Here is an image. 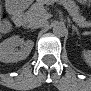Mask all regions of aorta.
<instances>
[{"label": "aorta", "instance_id": "aorta-1", "mask_svg": "<svg viewBox=\"0 0 91 91\" xmlns=\"http://www.w3.org/2000/svg\"><path fill=\"white\" fill-rule=\"evenodd\" d=\"M53 33L56 36H60V37L64 36L67 33V28L65 24L61 22H55L53 24Z\"/></svg>", "mask_w": 91, "mask_h": 91}]
</instances>
